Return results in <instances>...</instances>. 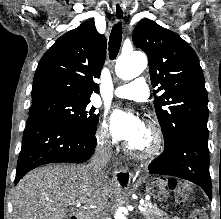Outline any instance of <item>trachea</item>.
<instances>
[{"label": "trachea", "instance_id": "3493384b", "mask_svg": "<svg viewBox=\"0 0 221 219\" xmlns=\"http://www.w3.org/2000/svg\"><path fill=\"white\" fill-rule=\"evenodd\" d=\"M122 41V24L118 22L115 24L111 30L109 37V57L111 60H114L119 53Z\"/></svg>", "mask_w": 221, "mask_h": 219}]
</instances>
